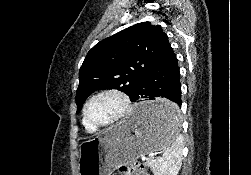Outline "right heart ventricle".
Here are the masks:
<instances>
[{"instance_id":"right-heart-ventricle-1","label":"right heart ventricle","mask_w":251,"mask_h":175,"mask_svg":"<svg viewBox=\"0 0 251 175\" xmlns=\"http://www.w3.org/2000/svg\"><path fill=\"white\" fill-rule=\"evenodd\" d=\"M85 130L89 133V134H94L96 133L95 130H93L92 128H90L89 126H84Z\"/></svg>"}]
</instances>
